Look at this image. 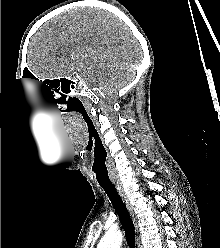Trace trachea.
<instances>
[{
  "label": "trachea",
  "instance_id": "3493384b",
  "mask_svg": "<svg viewBox=\"0 0 220 248\" xmlns=\"http://www.w3.org/2000/svg\"><path fill=\"white\" fill-rule=\"evenodd\" d=\"M108 198L110 199L115 212L118 214L121 224L124 228L125 238L127 245L130 248H136L135 245V231L132 224L130 214L122 201V198L118 194L115 186L112 183L100 184Z\"/></svg>",
  "mask_w": 220,
  "mask_h": 248
}]
</instances>
